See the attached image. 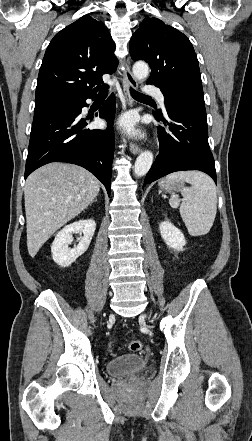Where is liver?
<instances>
[{"mask_svg":"<svg viewBox=\"0 0 252 441\" xmlns=\"http://www.w3.org/2000/svg\"><path fill=\"white\" fill-rule=\"evenodd\" d=\"M100 182L86 169L68 163H50L34 171L24 188L27 248L34 257L64 224L96 198Z\"/></svg>","mask_w":252,"mask_h":441,"instance_id":"1","label":"liver"}]
</instances>
